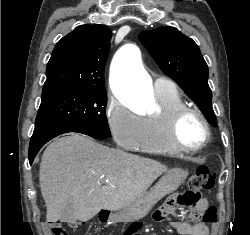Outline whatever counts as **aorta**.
I'll return each mask as SVG.
<instances>
[{
    "mask_svg": "<svg viewBox=\"0 0 250 235\" xmlns=\"http://www.w3.org/2000/svg\"><path fill=\"white\" fill-rule=\"evenodd\" d=\"M112 89L127 106L144 104L152 92V81L141 63L139 49L126 44L116 53L110 72Z\"/></svg>",
    "mask_w": 250,
    "mask_h": 235,
    "instance_id": "obj_1",
    "label": "aorta"
}]
</instances>
